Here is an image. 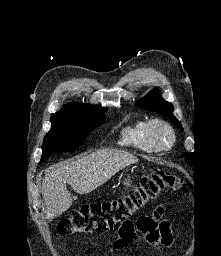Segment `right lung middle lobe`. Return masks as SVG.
<instances>
[{
	"label": "right lung middle lobe",
	"mask_w": 221,
	"mask_h": 256,
	"mask_svg": "<svg viewBox=\"0 0 221 256\" xmlns=\"http://www.w3.org/2000/svg\"><path fill=\"white\" fill-rule=\"evenodd\" d=\"M106 111V108L87 105L76 113L52 114V125L44 138L40 163L56 150L82 145L90 132L104 120Z\"/></svg>",
	"instance_id": "1"
}]
</instances>
